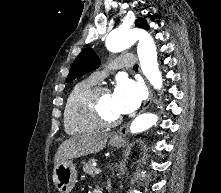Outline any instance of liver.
<instances>
[{
  "label": "liver",
  "mask_w": 221,
  "mask_h": 193,
  "mask_svg": "<svg viewBox=\"0 0 221 193\" xmlns=\"http://www.w3.org/2000/svg\"><path fill=\"white\" fill-rule=\"evenodd\" d=\"M107 133L73 136L62 142L54 157V167L73 158L100 152L106 145Z\"/></svg>",
  "instance_id": "1"
}]
</instances>
